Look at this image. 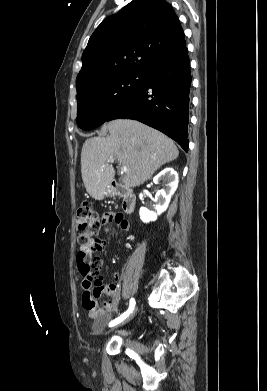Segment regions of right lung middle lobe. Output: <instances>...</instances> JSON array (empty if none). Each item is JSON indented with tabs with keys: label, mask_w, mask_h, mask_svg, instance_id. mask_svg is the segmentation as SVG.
I'll use <instances>...</instances> for the list:
<instances>
[{
	"label": "right lung middle lobe",
	"mask_w": 267,
	"mask_h": 391,
	"mask_svg": "<svg viewBox=\"0 0 267 391\" xmlns=\"http://www.w3.org/2000/svg\"><path fill=\"white\" fill-rule=\"evenodd\" d=\"M144 72L125 71L101 76L77 92V124L92 130L108 120L111 113L143 85Z\"/></svg>",
	"instance_id": "right-lung-middle-lobe-1"
}]
</instances>
